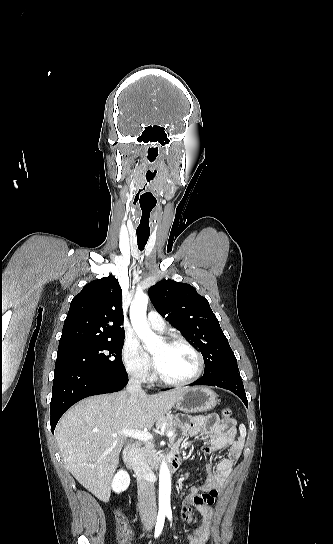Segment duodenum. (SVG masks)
<instances>
[{
  "label": "duodenum",
  "mask_w": 333,
  "mask_h": 544,
  "mask_svg": "<svg viewBox=\"0 0 333 544\" xmlns=\"http://www.w3.org/2000/svg\"><path fill=\"white\" fill-rule=\"evenodd\" d=\"M125 463L128 468L133 472L138 481H143L147 479V473L139 463L137 459V446L130 445L125 449L124 452ZM166 466L170 471H176L181 463L180 456L178 452L174 451L168 455L166 458Z\"/></svg>",
  "instance_id": "1"
}]
</instances>
